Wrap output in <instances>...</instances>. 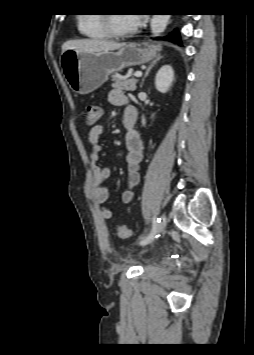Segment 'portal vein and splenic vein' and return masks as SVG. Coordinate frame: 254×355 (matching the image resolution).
<instances>
[{
	"instance_id": "portal-vein-and-splenic-vein-1",
	"label": "portal vein and splenic vein",
	"mask_w": 254,
	"mask_h": 355,
	"mask_svg": "<svg viewBox=\"0 0 254 355\" xmlns=\"http://www.w3.org/2000/svg\"><path fill=\"white\" fill-rule=\"evenodd\" d=\"M135 77H141L142 76V72L141 71H137L134 73Z\"/></svg>"
}]
</instances>
